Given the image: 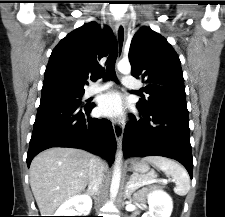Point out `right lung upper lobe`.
Masks as SVG:
<instances>
[{"mask_svg": "<svg viewBox=\"0 0 225 217\" xmlns=\"http://www.w3.org/2000/svg\"><path fill=\"white\" fill-rule=\"evenodd\" d=\"M112 37L109 27L101 29L95 21L69 33L50 55L41 94L84 93L83 86L88 79L103 76L99 60L108 55Z\"/></svg>", "mask_w": 225, "mask_h": 217, "instance_id": "cb5924a9", "label": "right lung upper lobe"}]
</instances>
